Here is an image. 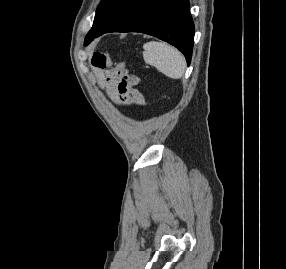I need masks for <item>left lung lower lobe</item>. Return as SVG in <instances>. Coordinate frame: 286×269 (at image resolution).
Wrapping results in <instances>:
<instances>
[{
  "instance_id": "left-lung-lower-lobe-1",
  "label": "left lung lower lobe",
  "mask_w": 286,
  "mask_h": 269,
  "mask_svg": "<svg viewBox=\"0 0 286 269\" xmlns=\"http://www.w3.org/2000/svg\"><path fill=\"white\" fill-rule=\"evenodd\" d=\"M140 32L164 40L179 49L190 64L194 42V23L189 0H143L110 27L98 32Z\"/></svg>"
}]
</instances>
